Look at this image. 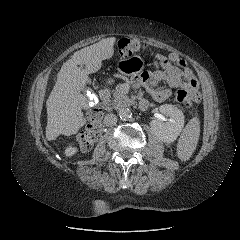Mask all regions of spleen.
Here are the masks:
<instances>
[{
  "mask_svg": "<svg viewBox=\"0 0 240 240\" xmlns=\"http://www.w3.org/2000/svg\"><path fill=\"white\" fill-rule=\"evenodd\" d=\"M200 135V122L193 117L186 125L177 144V156L180 160H188L196 149Z\"/></svg>",
  "mask_w": 240,
  "mask_h": 240,
  "instance_id": "spleen-1",
  "label": "spleen"
}]
</instances>
